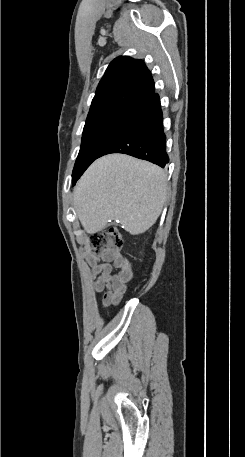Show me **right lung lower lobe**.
Here are the masks:
<instances>
[{
  "mask_svg": "<svg viewBox=\"0 0 245 457\" xmlns=\"http://www.w3.org/2000/svg\"><path fill=\"white\" fill-rule=\"evenodd\" d=\"M124 153L161 167L169 162L159 96L152 93L131 108L98 155Z\"/></svg>",
  "mask_w": 245,
  "mask_h": 457,
  "instance_id": "obj_1",
  "label": "right lung lower lobe"
}]
</instances>
